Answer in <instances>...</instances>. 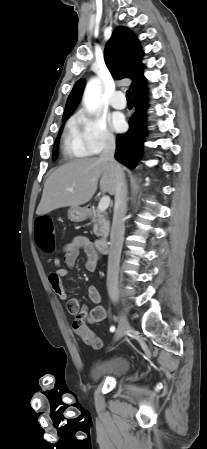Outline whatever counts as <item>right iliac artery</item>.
<instances>
[{"label": "right iliac artery", "mask_w": 207, "mask_h": 449, "mask_svg": "<svg viewBox=\"0 0 207 449\" xmlns=\"http://www.w3.org/2000/svg\"><path fill=\"white\" fill-rule=\"evenodd\" d=\"M110 331H111V332H114V331H115V327H114V326H111V327H110Z\"/></svg>", "instance_id": "right-iliac-artery-1"}]
</instances>
